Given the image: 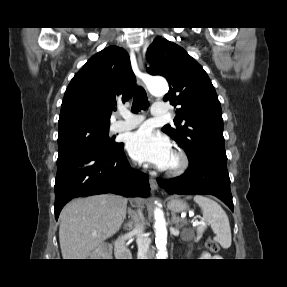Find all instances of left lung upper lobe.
Instances as JSON below:
<instances>
[{"mask_svg":"<svg viewBox=\"0 0 287 287\" xmlns=\"http://www.w3.org/2000/svg\"><path fill=\"white\" fill-rule=\"evenodd\" d=\"M146 57L152 66L148 73L169 82L164 101L178 106L174 126L165 125L162 131L185 150L190 168L206 164L227 168L221 105L202 66L162 37L154 39Z\"/></svg>","mask_w":287,"mask_h":287,"instance_id":"left-lung-upper-lobe-1","label":"left lung upper lobe"}]
</instances>
